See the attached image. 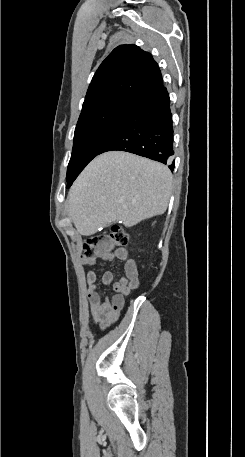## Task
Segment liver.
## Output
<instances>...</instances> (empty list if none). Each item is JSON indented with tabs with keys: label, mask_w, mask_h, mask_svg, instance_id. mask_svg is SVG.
Here are the masks:
<instances>
[{
	"label": "liver",
	"mask_w": 245,
	"mask_h": 457,
	"mask_svg": "<svg viewBox=\"0 0 245 457\" xmlns=\"http://www.w3.org/2000/svg\"><path fill=\"white\" fill-rule=\"evenodd\" d=\"M172 192L168 166L123 150L93 158L73 182L68 212L80 235H94L111 220L133 226L165 212Z\"/></svg>",
	"instance_id": "6515ba94"
}]
</instances>
